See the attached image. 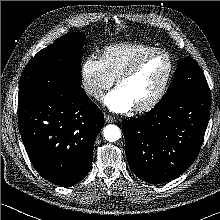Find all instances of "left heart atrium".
<instances>
[{
	"label": "left heart atrium",
	"mask_w": 220,
	"mask_h": 220,
	"mask_svg": "<svg viewBox=\"0 0 220 220\" xmlns=\"http://www.w3.org/2000/svg\"><path fill=\"white\" fill-rule=\"evenodd\" d=\"M105 105L116 113L128 112L134 107V103L130 96L120 87L108 93L105 97Z\"/></svg>",
	"instance_id": "left-heart-atrium-1"
}]
</instances>
